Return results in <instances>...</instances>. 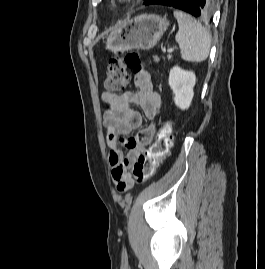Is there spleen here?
<instances>
[{
  "label": "spleen",
  "instance_id": "spleen-1",
  "mask_svg": "<svg viewBox=\"0 0 265 269\" xmlns=\"http://www.w3.org/2000/svg\"><path fill=\"white\" fill-rule=\"evenodd\" d=\"M179 30L175 36L181 50V58L189 62H202L209 56L211 35L201 23L187 13L173 12Z\"/></svg>",
  "mask_w": 265,
  "mask_h": 269
}]
</instances>
